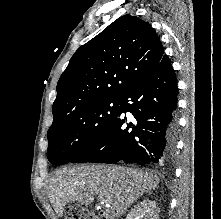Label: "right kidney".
Wrapping results in <instances>:
<instances>
[{
	"label": "right kidney",
	"mask_w": 221,
	"mask_h": 219,
	"mask_svg": "<svg viewBox=\"0 0 221 219\" xmlns=\"http://www.w3.org/2000/svg\"><path fill=\"white\" fill-rule=\"evenodd\" d=\"M159 212L156 202L147 199L134 206L126 219H159Z\"/></svg>",
	"instance_id": "1"
}]
</instances>
